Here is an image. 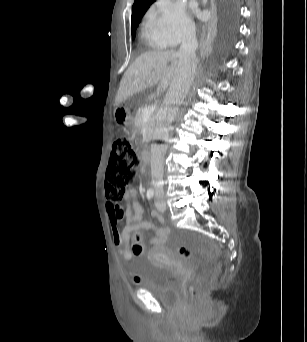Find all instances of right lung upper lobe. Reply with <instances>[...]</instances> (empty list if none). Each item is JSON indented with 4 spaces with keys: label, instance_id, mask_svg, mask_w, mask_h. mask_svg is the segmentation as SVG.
Here are the masks:
<instances>
[{
    "label": "right lung upper lobe",
    "instance_id": "cb5924a9",
    "mask_svg": "<svg viewBox=\"0 0 307 342\" xmlns=\"http://www.w3.org/2000/svg\"><path fill=\"white\" fill-rule=\"evenodd\" d=\"M154 1L155 0H135L131 17L132 35H134L142 16ZM233 7V0H214L211 3V11L206 24V31L209 37H218L224 32L233 11Z\"/></svg>",
    "mask_w": 307,
    "mask_h": 342
}]
</instances>
